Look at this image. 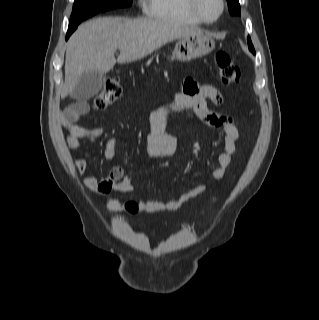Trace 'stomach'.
Instances as JSON below:
<instances>
[{"label":"stomach","mask_w":319,"mask_h":320,"mask_svg":"<svg viewBox=\"0 0 319 320\" xmlns=\"http://www.w3.org/2000/svg\"><path fill=\"white\" fill-rule=\"evenodd\" d=\"M215 48L214 39L205 34L180 38L174 48L172 59L188 62L192 59L209 54Z\"/></svg>","instance_id":"obj_1"}]
</instances>
